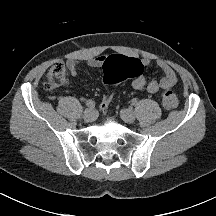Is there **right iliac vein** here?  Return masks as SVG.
Listing matches in <instances>:
<instances>
[{"instance_id":"63e3f726","label":"right iliac vein","mask_w":216,"mask_h":216,"mask_svg":"<svg viewBox=\"0 0 216 216\" xmlns=\"http://www.w3.org/2000/svg\"><path fill=\"white\" fill-rule=\"evenodd\" d=\"M97 117V112L95 111V109L93 108H87L85 111H84V114H83V118L88 121V122H91V121H94Z\"/></svg>"}]
</instances>
